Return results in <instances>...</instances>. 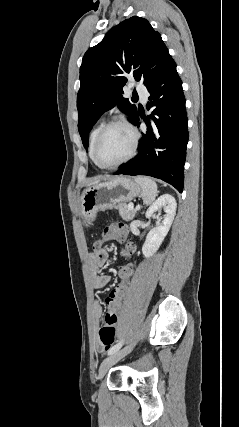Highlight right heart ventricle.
I'll return each mask as SVG.
<instances>
[{
	"mask_svg": "<svg viewBox=\"0 0 239 427\" xmlns=\"http://www.w3.org/2000/svg\"><path fill=\"white\" fill-rule=\"evenodd\" d=\"M104 122L101 121L99 124H97L93 130L90 133V137H89V155L91 157V159L93 160V156H92V149H93V145L95 142V139L97 137L98 132L100 131V129L103 127ZM94 162V160H93ZM95 163V162H94ZM96 164V163H95Z\"/></svg>",
	"mask_w": 239,
	"mask_h": 427,
	"instance_id": "1",
	"label": "right heart ventricle"
}]
</instances>
